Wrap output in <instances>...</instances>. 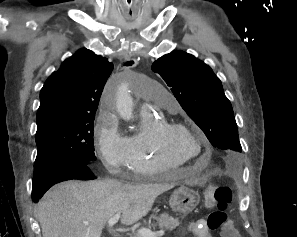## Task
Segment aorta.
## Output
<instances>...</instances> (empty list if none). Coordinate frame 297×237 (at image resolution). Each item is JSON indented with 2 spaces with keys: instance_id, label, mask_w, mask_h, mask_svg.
<instances>
[{
  "instance_id": "762f6f07",
  "label": "aorta",
  "mask_w": 297,
  "mask_h": 237,
  "mask_svg": "<svg viewBox=\"0 0 297 237\" xmlns=\"http://www.w3.org/2000/svg\"><path fill=\"white\" fill-rule=\"evenodd\" d=\"M116 109L124 120L129 121L133 119V101L128 93L127 83H122L118 88Z\"/></svg>"
}]
</instances>
